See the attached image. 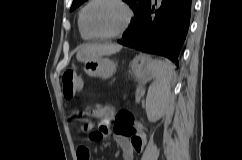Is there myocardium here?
Returning <instances> with one entry per match:
<instances>
[{"mask_svg": "<svg viewBox=\"0 0 242 160\" xmlns=\"http://www.w3.org/2000/svg\"><path fill=\"white\" fill-rule=\"evenodd\" d=\"M99 0H89L86 5L83 7L81 13H80V24L82 29L84 30V32L93 39H101V40H108V39H114L117 37L122 36L123 34H125L127 32V30L129 29L132 19H133V11L130 7V5L125 1V0H112L115 3L119 4L124 12H125V22L123 24V26L116 32L113 33H109V34H95L92 33L86 26L85 24V14L87 9L94 4L95 2H97Z\"/></svg>", "mask_w": 242, "mask_h": 160, "instance_id": "myocardium-1", "label": "myocardium"}]
</instances>
